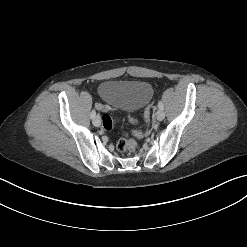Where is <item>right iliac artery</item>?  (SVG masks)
Here are the masks:
<instances>
[{
  "label": "right iliac artery",
  "instance_id": "82829eb1",
  "mask_svg": "<svg viewBox=\"0 0 247 247\" xmlns=\"http://www.w3.org/2000/svg\"><path fill=\"white\" fill-rule=\"evenodd\" d=\"M95 115H96V111L93 109V110L91 111L90 116H91V118L93 119V118L95 117Z\"/></svg>",
  "mask_w": 247,
  "mask_h": 247
}]
</instances>
